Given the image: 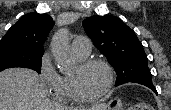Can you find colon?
Returning <instances> with one entry per match:
<instances>
[{
    "instance_id": "5ec220e1",
    "label": "colon",
    "mask_w": 171,
    "mask_h": 110,
    "mask_svg": "<svg viewBox=\"0 0 171 110\" xmlns=\"http://www.w3.org/2000/svg\"><path fill=\"white\" fill-rule=\"evenodd\" d=\"M129 110H137V106H131Z\"/></svg>"
}]
</instances>
